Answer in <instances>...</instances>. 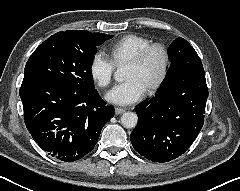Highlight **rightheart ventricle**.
<instances>
[{"mask_svg": "<svg viewBox=\"0 0 240 191\" xmlns=\"http://www.w3.org/2000/svg\"><path fill=\"white\" fill-rule=\"evenodd\" d=\"M152 42L147 37L141 35H125L109 46V53L114 64L127 62L139 51Z\"/></svg>", "mask_w": 240, "mask_h": 191, "instance_id": "right-heart-ventricle-1", "label": "right heart ventricle"}]
</instances>
